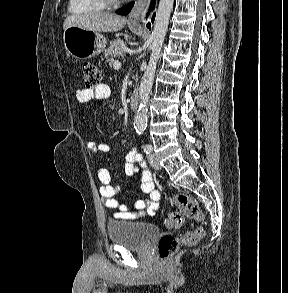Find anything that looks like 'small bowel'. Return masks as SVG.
<instances>
[{"label":"small bowel","mask_w":288,"mask_h":293,"mask_svg":"<svg viewBox=\"0 0 288 293\" xmlns=\"http://www.w3.org/2000/svg\"><path fill=\"white\" fill-rule=\"evenodd\" d=\"M111 91L108 85L101 84L94 90L80 89L76 97L81 103L96 102L103 103L110 97ZM88 151L91 154H107L111 147L106 143L89 142ZM141 171V190L147 195L144 199H138L130 205L118 201L115 196L119 192L117 185L111 184L110 173L107 169L101 168L98 171V178L102 184L100 193L106 207L113 209L114 217L117 219H135L144 215H155L159 207L160 193L155 188L152 175L146 169L142 156L132 149L126 155L125 173L133 176Z\"/></svg>","instance_id":"c3829d8e"}]
</instances>
